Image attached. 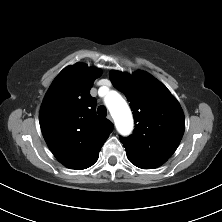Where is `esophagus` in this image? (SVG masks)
I'll return each instance as SVG.
<instances>
[{"mask_svg": "<svg viewBox=\"0 0 222 222\" xmlns=\"http://www.w3.org/2000/svg\"><path fill=\"white\" fill-rule=\"evenodd\" d=\"M107 119L110 120V121H113L111 115H108V116H107Z\"/></svg>", "mask_w": 222, "mask_h": 222, "instance_id": "esophagus-1", "label": "esophagus"}]
</instances>
